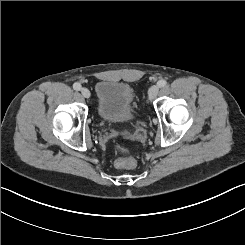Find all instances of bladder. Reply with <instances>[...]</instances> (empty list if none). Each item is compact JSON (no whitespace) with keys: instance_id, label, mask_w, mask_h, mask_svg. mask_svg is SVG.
Returning <instances> with one entry per match:
<instances>
[{"instance_id":"obj_1","label":"bladder","mask_w":245,"mask_h":245,"mask_svg":"<svg viewBox=\"0 0 245 245\" xmlns=\"http://www.w3.org/2000/svg\"><path fill=\"white\" fill-rule=\"evenodd\" d=\"M98 112L102 119L125 121L132 111L135 93L125 83L102 80L96 87Z\"/></svg>"}]
</instances>
